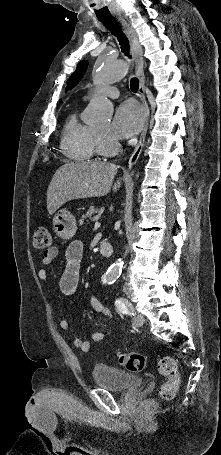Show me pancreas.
Masks as SVG:
<instances>
[{
  "mask_svg": "<svg viewBox=\"0 0 221 455\" xmlns=\"http://www.w3.org/2000/svg\"><path fill=\"white\" fill-rule=\"evenodd\" d=\"M97 213H100L98 208L95 207H90V209L82 216V218L79 221L80 225L83 224H88V218L91 219L92 221H97L98 220V215Z\"/></svg>",
  "mask_w": 221,
  "mask_h": 455,
  "instance_id": "1",
  "label": "pancreas"
}]
</instances>
